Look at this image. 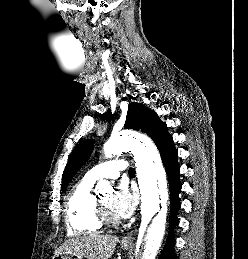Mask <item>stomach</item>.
I'll return each instance as SVG.
<instances>
[{"label":"stomach","instance_id":"stomach-1","mask_svg":"<svg viewBox=\"0 0 248 259\" xmlns=\"http://www.w3.org/2000/svg\"><path fill=\"white\" fill-rule=\"evenodd\" d=\"M123 250H128L130 246L122 245ZM53 259H82L75 254L70 253H59L53 257Z\"/></svg>","mask_w":248,"mask_h":259}]
</instances>
